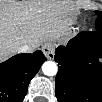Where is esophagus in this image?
<instances>
[{
	"instance_id": "esophagus-1",
	"label": "esophagus",
	"mask_w": 102,
	"mask_h": 102,
	"mask_svg": "<svg viewBox=\"0 0 102 102\" xmlns=\"http://www.w3.org/2000/svg\"><path fill=\"white\" fill-rule=\"evenodd\" d=\"M42 51L47 59H54V47L51 44H45Z\"/></svg>"
}]
</instances>
